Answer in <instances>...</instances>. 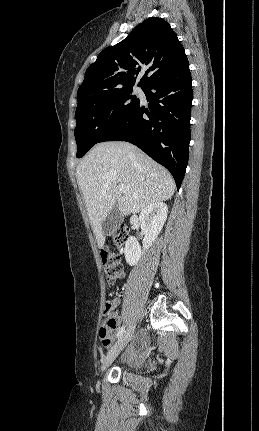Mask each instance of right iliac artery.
Listing matches in <instances>:
<instances>
[{"mask_svg": "<svg viewBox=\"0 0 259 431\" xmlns=\"http://www.w3.org/2000/svg\"><path fill=\"white\" fill-rule=\"evenodd\" d=\"M124 331H125V326H122L117 333V338L121 337V335L123 334Z\"/></svg>", "mask_w": 259, "mask_h": 431, "instance_id": "1", "label": "right iliac artery"}]
</instances>
